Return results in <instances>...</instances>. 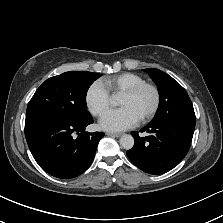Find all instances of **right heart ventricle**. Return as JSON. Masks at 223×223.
Wrapping results in <instances>:
<instances>
[{
    "label": "right heart ventricle",
    "mask_w": 223,
    "mask_h": 223,
    "mask_svg": "<svg viewBox=\"0 0 223 223\" xmlns=\"http://www.w3.org/2000/svg\"><path fill=\"white\" fill-rule=\"evenodd\" d=\"M145 82L144 79L134 73H122L112 77L105 78L103 83L109 92L122 95L124 92L132 89L140 83Z\"/></svg>",
    "instance_id": "e07e8e85"
}]
</instances>
